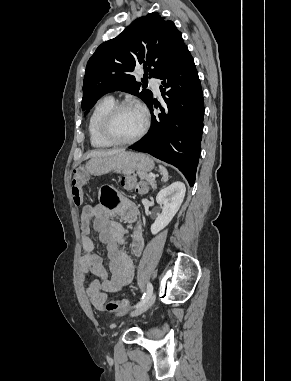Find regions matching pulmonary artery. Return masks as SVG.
Here are the masks:
<instances>
[{
	"label": "pulmonary artery",
	"instance_id": "pulmonary-artery-1",
	"mask_svg": "<svg viewBox=\"0 0 291 381\" xmlns=\"http://www.w3.org/2000/svg\"><path fill=\"white\" fill-rule=\"evenodd\" d=\"M159 84H160L159 80L154 78L150 79V85L152 86L154 92L157 94L159 93Z\"/></svg>",
	"mask_w": 291,
	"mask_h": 381
}]
</instances>
